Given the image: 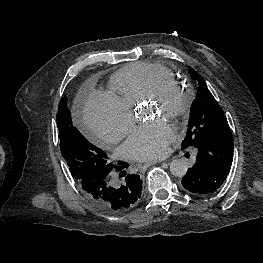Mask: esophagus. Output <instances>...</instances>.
Returning a JSON list of instances; mask_svg holds the SVG:
<instances>
[{"instance_id":"obj_1","label":"esophagus","mask_w":263,"mask_h":263,"mask_svg":"<svg viewBox=\"0 0 263 263\" xmlns=\"http://www.w3.org/2000/svg\"><path fill=\"white\" fill-rule=\"evenodd\" d=\"M155 163H157V162H148V163H146L144 166L145 167H149V166H151V165H154Z\"/></svg>"}]
</instances>
